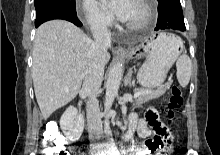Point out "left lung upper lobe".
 Returning <instances> with one entry per match:
<instances>
[{
  "mask_svg": "<svg viewBox=\"0 0 220 155\" xmlns=\"http://www.w3.org/2000/svg\"><path fill=\"white\" fill-rule=\"evenodd\" d=\"M162 1H165V0H158V2H162Z\"/></svg>",
  "mask_w": 220,
  "mask_h": 155,
  "instance_id": "left-lung-upper-lobe-1",
  "label": "left lung upper lobe"
}]
</instances>
